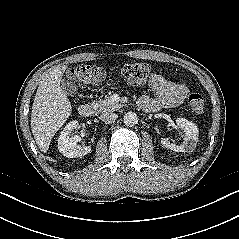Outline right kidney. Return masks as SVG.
<instances>
[{
    "label": "right kidney",
    "mask_w": 239,
    "mask_h": 239,
    "mask_svg": "<svg viewBox=\"0 0 239 239\" xmlns=\"http://www.w3.org/2000/svg\"><path fill=\"white\" fill-rule=\"evenodd\" d=\"M78 128L79 122L77 120H73L64 127L58 138V149L68 158L82 157L91 151V146L81 147L77 145L78 141H80V137L78 135H71L72 131Z\"/></svg>",
    "instance_id": "ca27d5eb"
}]
</instances>
